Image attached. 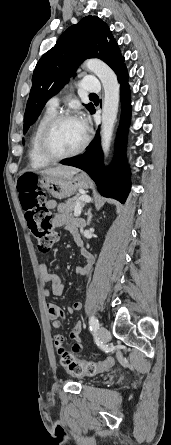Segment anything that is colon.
<instances>
[{"instance_id":"5ec220e1","label":"colon","mask_w":171,"mask_h":445,"mask_svg":"<svg viewBox=\"0 0 171 445\" xmlns=\"http://www.w3.org/2000/svg\"><path fill=\"white\" fill-rule=\"evenodd\" d=\"M19 200L30 232L40 251L47 252L58 241L59 235L52 224L44 192L35 176L19 178L17 183ZM60 363L74 376L95 375L105 370L109 361H79L66 350L58 352Z\"/></svg>"}]
</instances>
